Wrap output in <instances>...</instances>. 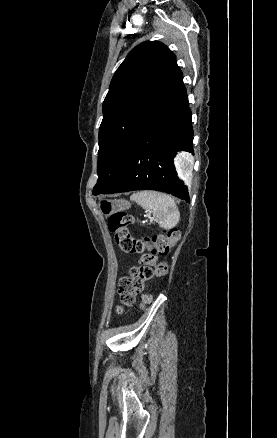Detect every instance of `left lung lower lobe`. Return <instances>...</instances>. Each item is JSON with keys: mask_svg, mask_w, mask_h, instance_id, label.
Listing matches in <instances>:
<instances>
[{"mask_svg": "<svg viewBox=\"0 0 277 438\" xmlns=\"http://www.w3.org/2000/svg\"><path fill=\"white\" fill-rule=\"evenodd\" d=\"M192 141L191 113H180L166 101L149 97L138 114L127 160L115 182L101 194L149 189L189 202L187 188L177 180L173 158L177 151L192 152Z\"/></svg>", "mask_w": 277, "mask_h": 438, "instance_id": "obj_1", "label": "left lung lower lobe"}]
</instances>
